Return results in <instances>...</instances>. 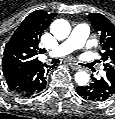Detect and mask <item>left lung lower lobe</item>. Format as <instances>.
<instances>
[{
	"label": "left lung lower lobe",
	"mask_w": 115,
	"mask_h": 119,
	"mask_svg": "<svg viewBox=\"0 0 115 119\" xmlns=\"http://www.w3.org/2000/svg\"><path fill=\"white\" fill-rule=\"evenodd\" d=\"M77 93L84 99L92 101H105L115 95V77L106 74L99 80L93 79V82L87 86L77 87Z\"/></svg>",
	"instance_id": "0a47b994"
}]
</instances>
